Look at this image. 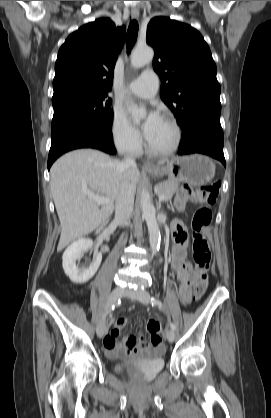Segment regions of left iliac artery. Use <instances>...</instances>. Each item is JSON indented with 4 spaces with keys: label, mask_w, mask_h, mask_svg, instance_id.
<instances>
[{
    "label": "left iliac artery",
    "mask_w": 271,
    "mask_h": 418,
    "mask_svg": "<svg viewBox=\"0 0 271 418\" xmlns=\"http://www.w3.org/2000/svg\"><path fill=\"white\" fill-rule=\"evenodd\" d=\"M150 302H151V304H152V305H157V306H159L160 308H162V307H163L162 302H161L159 299L155 298V297H150ZM170 328H171L173 331H175V330H176V326H175V324H174L173 322H170Z\"/></svg>",
    "instance_id": "1"
}]
</instances>
